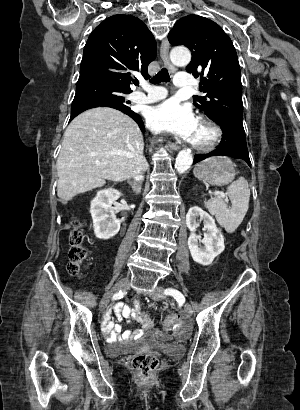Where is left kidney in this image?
Returning a JSON list of instances; mask_svg holds the SVG:
<instances>
[{"label": "left kidney", "mask_w": 300, "mask_h": 410, "mask_svg": "<svg viewBox=\"0 0 300 410\" xmlns=\"http://www.w3.org/2000/svg\"><path fill=\"white\" fill-rule=\"evenodd\" d=\"M204 222V229L207 233L204 234V238L198 241V237L195 234L197 227L199 226L198 218ZM186 225L190 230V236L188 238V247L193 260L201 265H210L215 257L221 254L224 249V237L221 231L217 228L215 220L206 211L194 206L189 209L186 215ZM199 243L203 246L199 247Z\"/></svg>", "instance_id": "left-kidney-1"}]
</instances>
